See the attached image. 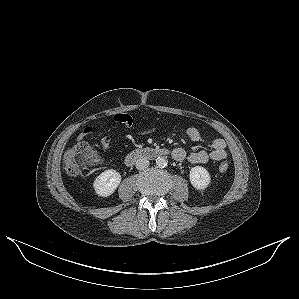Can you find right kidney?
I'll list each match as a JSON object with an SVG mask.
<instances>
[{"label": "right kidney", "instance_id": "right-kidney-1", "mask_svg": "<svg viewBox=\"0 0 299 299\" xmlns=\"http://www.w3.org/2000/svg\"><path fill=\"white\" fill-rule=\"evenodd\" d=\"M121 182V175L113 169L102 172L94 181L93 187L99 196L107 197L115 192Z\"/></svg>", "mask_w": 299, "mask_h": 299}]
</instances>
